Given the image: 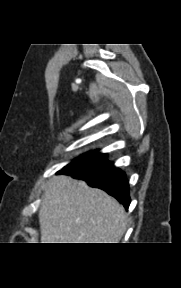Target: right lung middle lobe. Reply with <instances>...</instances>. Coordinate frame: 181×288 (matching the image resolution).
<instances>
[{
    "label": "right lung middle lobe",
    "mask_w": 181,
    "mask_h": 288,
    "mask_svg": "<svg viewBox=\"0 0 181 288\" xmlns=\"http://www.w3.org/2000/svg\"><path fill=\"white\" fill-rule=\"evenodd\" d=\"M104 160H107V158L105 157V154L97 153V151H91L75 159L67 166H70L73 164H80V163H94V162H100Z\"/></svg>",
    "instance_id": "1"
}]
</instances>
